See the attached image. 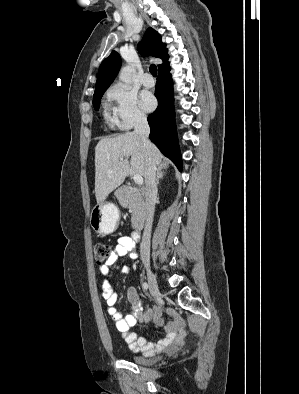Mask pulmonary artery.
<instances>
[{
	"instance_id": "obj_1",
	"label": "pulmonary artery",
	"mask_w": 299,
	"mask_h": 394,
	"mask_svg": "<svg viewBox=\"0 0 299 394\" xmlns=\"http://www.w3.org/2000/svg\"><path fill=\"white\" fill-rule=\"evenodd\" d=\"M141 83L143 86L150 88L153 87L155 84L154 78L149 73H145L141 78Z\"/></svg>"
}]
</instances>
